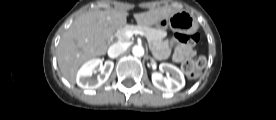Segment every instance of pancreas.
Listing matches in <instances>:
<instances>
[{
  "label": "pancreas",
  "mask_w": 276,
  "mask_h": 120,
  "mask_svg": "<svg viewBox=\"0 0 276 120\" xmlns=\"http://www.w3.org/2000/svg\"><path fill=\"white\" fill-rule=\"evenodd\" d=\"M128 30H140L144 33L145 37L147 38L150 45L155 46L156 43L160 42L165 36L166 32L161 31L159 29L150 28L147 26H134V25H127L118 31L117 35L122 39L126 40L125 32Z\"/></svg>",
  "instance_id": "cf45deb5"
}]
</instances>
